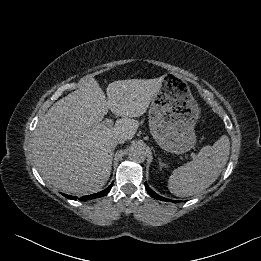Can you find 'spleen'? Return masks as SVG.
I'll use <instances>...</instances> for the list:
<instances>
[{
  "label": "spleen",
  "instance_id": "1",
  "mask_svg": "<svg viewBox=\"0 0 261 261\" xmlns=\"http://www.w3.org/2000/svg\"><path fill=\"white\" fill-rule=\"evenodd\" d=\"M230 151L227 135H222L212 146H204L191 162L173 170L168 180L169 191L179 197L195 195L219 177Z\"/></svg>",
  "mask_w": 261,
  "mask_h": 261
}]
</instances>
